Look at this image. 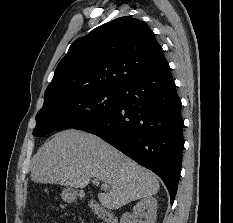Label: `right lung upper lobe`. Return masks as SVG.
Here are the masks:
<instances>
[{"label":"right lung upper lobe","mask_w":233,"mask_h":223,"mask_svg":"<svg viewBox=\"0 0 233 223\" xmlns=\"http://www.w3.org/2000/svg\"><path fill=\"white\" fill-rule=\"evenodd\" d=\"M166 64L151 29L138 19L120 17L72 43L45 91L44 104L92 88H121Z\"/></svg>","instance_id":"right-lung-upper-lobe-1"}]
</instances>
